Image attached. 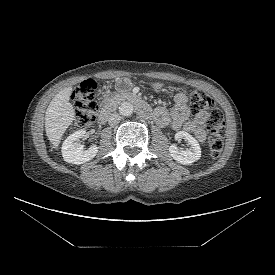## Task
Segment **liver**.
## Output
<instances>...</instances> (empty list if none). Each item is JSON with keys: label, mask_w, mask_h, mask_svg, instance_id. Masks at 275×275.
Segmentation results:
<instances>
[{"label": "liver", "mask_w": 275, "mask_h": 275, "mask_svg": "<svg viewBox=\"0 0 275 275\" xmlns=\"http://www.w3.org/2000/svg\"><path fill=\"white\" fill-rule=\"evenodd\" d=\"M72 87H65L49 103L45 115L46 135L54 147H58L62 135L75 119L76 113L69 102Z\"/></svg>", "instance_id": "1"}]
</instances>
